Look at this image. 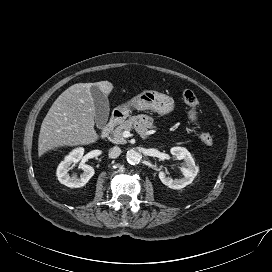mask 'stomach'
<instances>
[{"mask_svg":"<svg viewBox=\"0 0 272 272\" xmlns=\"http://www.w3.org/2000/svg\"><path fill=\"white\" fill-rule=\"evenodd\" d=\"M131 108L141 111L152 110L165 115L174 110L175 104L173 98L168 95L154 90L144 89L140 94L130 100V102L121 107V110L125 114H128Z\"/></svg>","mask_w":272,"mask_h":272,"instance_id":"0dacf381","label":"stomach"}]
</instances>
